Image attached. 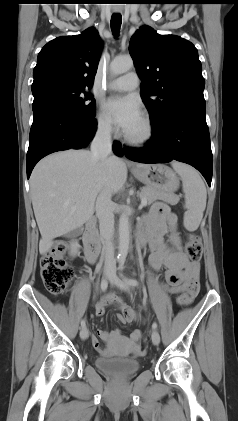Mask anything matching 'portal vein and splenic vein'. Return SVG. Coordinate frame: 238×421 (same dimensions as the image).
<instances>
[{
    "instance_id": "obj_1",
    "label": "portal vein and splenic vein",
    "mask_w": 238,
    "mask_h": 421,
    "mask_svg": "<svg viewBox=\"0 0 238 421\" xmlns=\"http://www.w3.org/2000/svg\"><path fill=\"white\" fill-rule=\"evenodd\" d=\"M147 205V202H146V199L144 198L142 201H141V205H140V209L141 208H143L144 206H146Z\"/></svg>"
}]
</instances>
